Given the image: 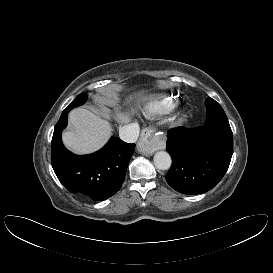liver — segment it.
I'll use <instances>...</instances> for the list:
<instances>
[{"label":"liver","mask_w":273,"mask_h":273,"mask_svg":"<svg viewBox=\"0 0 273 273\" xmlns=\"http://www.w3.org/2000/svg\"><path fill=\"white\" fill-rule=\"evenodd\" d=\"M119 122H128L127 115L119 113ZM72 130L62 134L64 144L77 154H88L97 151L105 145L112 134L110 123L91 111L76 108L69 113Z\"/></svg>","instance_id":"liver-1"}]
</instances>
